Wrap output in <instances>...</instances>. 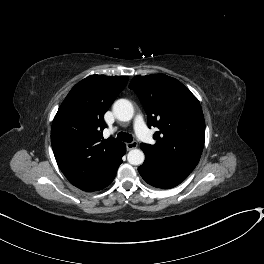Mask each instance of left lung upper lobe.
<instances>
[{
	"mask_svg": "<svg viewBox=\"0 0 264 264\" xmlns=\"http://www.w3.org/2000/svg\"><path fill=\"white\" fill-rule=\"evenodd\" d=\"M138 95L156 127L154 145L141 149L165 166L192 172L199 162L204 141L205 121L198 99L180 81L164 74L135 76L129 84Z\"/></svg>",
	"mask_w": 264,
	"mask_h": 264,
	"instance_id": "left-lung-upper-lobe-1",
	"label": "left lung upper lobe"
}]
</instances>
